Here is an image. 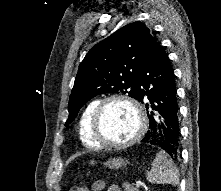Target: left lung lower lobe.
<instances>
[{
    "mask_svg": "<svg viewBox=\"0 0 221 191\" xmlns=\"http://www.w3.org/2000/svg\"><path fill=\"white\" fill-rule=\"evenodd\" d=\"M138 101L147 95L155 112L148 115L150 127L143 141L178 158L180 125L174 70L160 43L154 39L138 77ZM148 109V104H146Z\"/></svg>",
    "mask_w": 221,
    "mask_h": 191,
    "instance_id": "1",
    "label": "left lung lower lobe"
}]
</instances>
